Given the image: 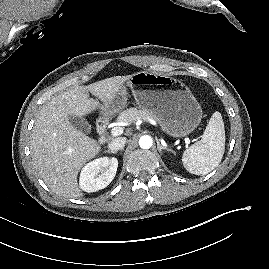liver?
I'll list each match as a JSON object with an SVG mask.
<instances>
[{
  "instance_id": "1",
  "label": "liver",
  "mask_w": 269,
  "mask_h": 269,
  "mask_svg": "<svg viewBox=\"0 0 269 269\" xmlns=\"http://www.w3.org/2000/svg\"><path fill=\"white\" fill-rule=\"evenodd\" d=\"M131 75L114 76L77 86L47 102L39 111L32 130L31 155L34 168L47 186L67 198L83 196L77 183L81 167L101 150L97 140L74 128L69 115L82 117L112 100Z\"/></svg>"
}]
</instances>
